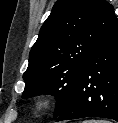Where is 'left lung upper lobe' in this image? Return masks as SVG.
Listing matches in <instances>:
<instances>
[{"instance_id": "left-lung-upper-lobe-1", "label": "left lung upper lobe", "mask_w": 118, "mask_h": 123, "mask_svg": "<svg viewBox=\"0 0 118 123\" xmlns=\"http://www.w3.org/2000/svg\"><path fill=\"white\" fill-rule=\"evenodd\" d=\"M116 21L105 0H58L30 51L22 98L55 95L58 117L93 50Z\"/></svg>"}]
</instances>
